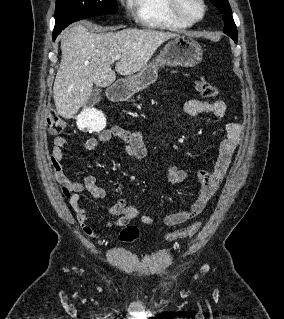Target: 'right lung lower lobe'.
I'll list each match as a JSON object with an SVG mask.
<instances>
[{
  "label": "right lung lower lobe",
  "instance_id": "98d812e1",
  "mask_svg": "<svg viewBox=\"0 0 284 319\" xmlns=\"http://www.w3.org/2000/svg\"><path fill=\"white\" fill-rule=\"evenodd\" d=\"M58 34L53 33V39L57 37Z\"/></svg>",
  "mask_w": 284,
  "mask_h": 319
}]
</instances>
